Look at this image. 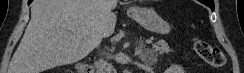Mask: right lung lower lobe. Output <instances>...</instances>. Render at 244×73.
Wrapping results in <instances>:
<instances>
[{"label": "right lung lower lobe", "instance_id": "obj_1", "mask_svg": "<svg viewBox=\"0 0 244 73\" xmlns=\"http://www.w3.org/2000/svg\"><path fill=\"white\" fill-rule=\"evenodd\" d=\"M33 0H28V4H30Z\"/></svg>", "mask_w": 244, "mask_h": 73}]
</instances>
